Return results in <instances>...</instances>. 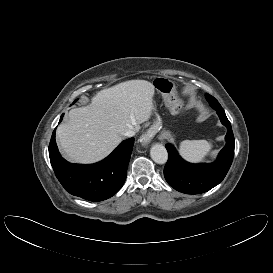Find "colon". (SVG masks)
<instances>
[{
    "label": "colon",
    "mask_w": 273,
    "mask_h": 273,
    "mask_svg": "<svg viewBox=\"0 0 273 273\" xmlns=\"http://www.w3.org/2000/svg\"><path fill=\"white\" fill-rule=\"evenodd\" d=\"M155 85L158 90L165 92V93L171 92L174 88V84L171 81H169L167 79H163V78L157 79L155 81Z\"/></svg>",
    "instance_id": "5ec220e1"
}]
</instances>
